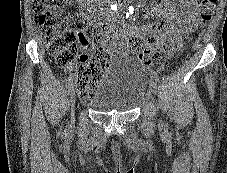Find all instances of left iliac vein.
Returning <instances> with one entry per match:
<instances>
[{"label":"left iliac vein","mask_w":227,"mask_h":173,"mask_svg":"<svg viewBox=\"0 0 227 173\" xmlns=\"http://www.w3.org/2000/svg\"><path fill=\"white\" fill-rule=\"evenodd\" d=\"M149 87H150V90L153 94H156L157 93V84L155 82L154 79H150V82H149Z\"/></svg>","instance_id":"obj_1"}]
</instances>
